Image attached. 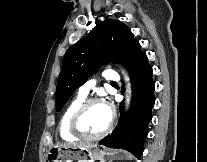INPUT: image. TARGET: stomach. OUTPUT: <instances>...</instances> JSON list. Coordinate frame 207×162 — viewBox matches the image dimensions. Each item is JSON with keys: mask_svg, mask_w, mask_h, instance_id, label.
<instances>
[{"mask_svg": "<svg viewBox=\"0 0 207 162\" xmlns=\"http://www.w3.org/2000/svg\"><path fill=\"white\" fill-rule=\"evenodd\" d=\"M125 158V153L112 152L107 149L69 148L63 146H54L49 149L47 154L48 162H73L75 160H78V162L80 160L84 162H93L95 160L105 162V160H122Z\"/></svg>", "mask_w": 207, "mask_h": 162, "instance_id": "stomach-1", "label": "stomach"}]
</instances>
